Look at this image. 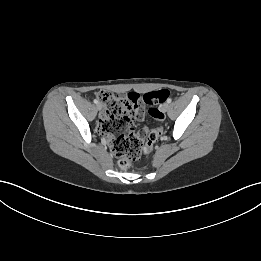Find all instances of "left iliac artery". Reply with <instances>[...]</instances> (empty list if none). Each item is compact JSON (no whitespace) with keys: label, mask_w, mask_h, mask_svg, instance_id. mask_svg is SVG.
<instances>
[{"label":"left iliac artery","mask_w":261,"mask_h":261,"mask_svg":"<svg viewBox=\"0 0 261 261\" xmlns=\"http://www.w3.org/2000/svg\"><path fill=\"white\" fill-rule=\"evenodd\" d=\"M172 99L171 98H168L167 99V103H171Z\"/></svg>","instance_id":"left-iliac-artery-1"}]
</instances>
